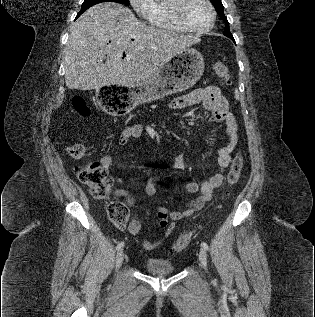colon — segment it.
Segmentation results:
<instances>
[{
	"label": "colon",
	"mask_w": 315,
	"mask_h": 317,
	"mask_svg": "<svg viewBox=\"0 0 315 317\" xmlns=\"http://www.w3.org/2000/svg\"><path fill=\"white\" fill-rule=\"evenodd\" d=\"M215 74L226 84L229 83V69L222 61H216L213 65ZM73 106L76 112L86 117L89 113L88 108L82 98L76 97L73 100ZM69 155L74 159L85 157L87 148L82 142L71 143L67 147ZM243 169V156L237 153L231 163L227 174V184L234 186L238 183ZM79 180L85 184L90 192L97 198H108L111 192V180L108 175V170L99 162H92L84 166L76 168ZM107 214L110 221L117 228H124L129 220V211L127 206L119 200H110L107 204ZM191 231L180 235L172 246V252L178 253L186 249L192 239Z\"/></svg>",
	"instance_id": "5ec220e1"
}]
</instances>
